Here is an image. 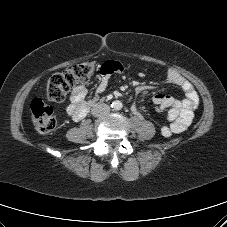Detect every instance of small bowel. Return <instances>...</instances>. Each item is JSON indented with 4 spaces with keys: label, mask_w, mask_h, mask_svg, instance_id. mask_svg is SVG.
Masks as SVG:
<instances>
[{
    "label": "small bowel",
    "mask_w": 227,
    "mask_h": 227,
    "mask_svg": "<svg viewBox=\"0 0 227 227\" xmlns=\"http://www.w3.org/2000/svg\"><path fill=\"white\" fill-rule=\"evenodd\" d=\"M122 70L123 67L118 62H105L100 69L101 77L96 87V95H100L106 90L109 78L113 73H120ZM167 80L169 83L180 87L185 94L183 100H177L165 94H156L152 98L158 111L167 112V118L170 124L164 126L161 129V133L165 137H170L173 134L184 132L189 127L193 120L194 111L199 105V96L192 83L177 71L169 69L167 71ZM149 88L148 86H140L137 88L136 93L140 94ZM86 95L87 88L84 85L74 87L71 92L70 102L66 107V112L75 121L83 119L93 104V100H87ZM132 108L136 114H140L137 105H133Z\"/></svg>",
    "instance_id": "1"
}]
</instances>
